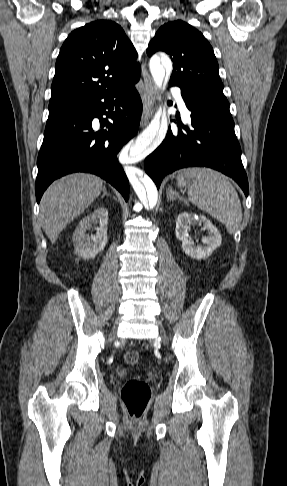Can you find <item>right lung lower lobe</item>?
<instances>
[{
  "instance_id": "right-lung-lower-lobe-1",
  "label": "right lung lower lobe",
  "mask_w": 287,
  "mask_h": 486,
  "mask_svg": "<svg viewBox=\"0 0 287 486\" xmlns=\"http://www.w3.org/2000/svg\"><path fill=\"white\" fill-rule=\"evenodd\" d=\"M137 81L48 118L37 160L38 203L55 179L73 172L100 176L128 200V179L116 157L138 131L142 102L133 85ZM96 117L102 128L99 131L92 126Z\"/></svg>"
}]
</instances>
